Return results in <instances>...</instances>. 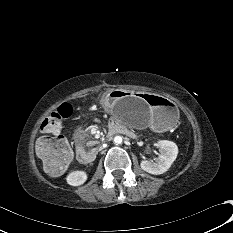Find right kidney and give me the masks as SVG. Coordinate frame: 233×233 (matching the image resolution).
Returning <instances> with one entry per match:
<instances>
[{
    "mask_svg": "<svg viewBox=\"0 0 233 233\" xmlns=\"http://www.w3.org/2000/svg\"><path fill=\"white\" fill-rule=\"evenodd\" d=\"M87 180V174L84 171H73L68 174L66 181L71 186H80Z\"/></svg>",
    "mask_w": 233,
    "mask_h": 233,
    "instance_id": "right-kidney-1",
    "label": "right kidney"
}]
</instances>
